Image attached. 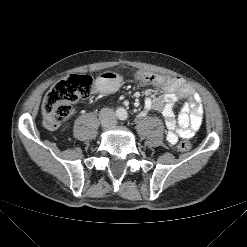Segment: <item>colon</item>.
<instances>
[{
	"label": "colon",
	"instance_id": "colon-1",
	"mask_svg": "<svg viewBox=\"0 0 247 247\" xmlns=\"http://www.w3.org/2000/svg\"><path fill=\"white\" fill-rule=\"evenodd\" d=\"M135 78L143 83L160 85L169 77L156 73L139 71ZM92 79L88 75L71 74L57 82L51 89L44 104V124L49 129L57 128L72 113V105L90 96ZM178 148L187 151L192 148V141L184 139Z\"/></svg>",
	"mask_w": 247,
	"mask_h": 247
}]
</instances>
